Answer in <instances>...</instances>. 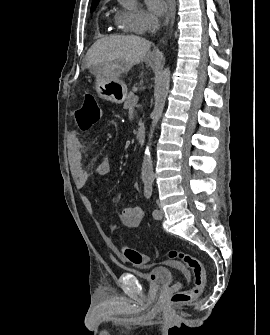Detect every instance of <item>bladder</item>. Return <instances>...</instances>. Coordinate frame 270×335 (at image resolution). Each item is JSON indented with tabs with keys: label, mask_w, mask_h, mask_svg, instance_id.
Here are the masks:
<instances>
[{
	"label": "bladder",
	"mask_w": 270,
	"mask_h": 335,
	"mask_svg": "<svg viewBox=\"0 0 270 335\" xmlns=\"http://www.w3.org/2000/svg\"><path fill=\"white\" fill-rule=\"evenodd\" d=\"M131 274H136L142 282L148 283L153 288L170 285L174 271L168 268H156L148 273L139 274L136 271H131Z\"/></svg>",
	"instance_id": "31cf9c89"
}]
</instances>
